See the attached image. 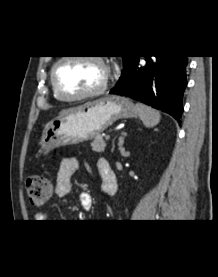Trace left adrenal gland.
Here are the masks:
<instances>
[{"label": "left adrenal gland", "mask_w": 218, "mask_h": 277, "mask_svg": "<svg viewBox=\"0 0 218 277\" xmlns=\"http://www.w3.org/2000/svg\"><path fill=\"white\" fill-rule=\"evenodd\" d=\"M119 141H120V149H122V145H123V137H120L119 138ZM114 148H115V144H114V142H113V145H112V151H114Z\"/></svg>", "instance_id": "obj_1"}]
</instances>
